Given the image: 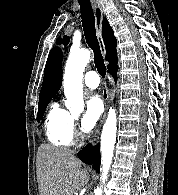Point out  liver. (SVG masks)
Returning a JSON list of instances; mask_svg holds the SVG:
<instances>
[{"label":"liver","mask_w":178,"mask_h":195,"mask_svg":"<svg viewBox=\"0 0 178 195\" xmlns=\"http://www.w3.org/2000/svg\"><path fill=\"white\" fill-rule=\"evenodd\" d=\"M40 195H74L89 181V173L71 153L42 144L37 153Z\"/></svg>","instance_id":"liver-1"}]
</instances>
